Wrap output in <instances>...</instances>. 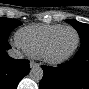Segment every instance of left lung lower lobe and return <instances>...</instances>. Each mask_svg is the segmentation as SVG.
Instances as JSON below:
<instances>
[{"mask_svg": "<svg viewBox=\"0 0 89 89\" xmlns=\"http://www.w3.org/2000/svg\"><path fill=\"white\" fill-rule=\"evenodd\" d=\"M40 89H89V41H82L70 61L58 67L42 66Z\"/></svg>", "mask_w": 89, "mask_h": 89, "instance_id": "1", "label": "left lung lower lobe"}]
</instances>
